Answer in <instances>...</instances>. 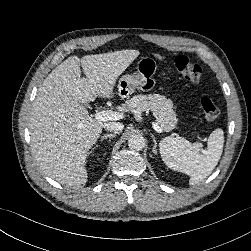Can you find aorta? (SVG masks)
<instances>
[{
  "label": "aorta",
  "instance_id": "1",
  "mask_svg": "<svg viewBox=\"0 0 251 251\" xmlns=\"http://www.w3.org/2000/svg\"><path fill=\"white\" fill-rule=\"evenodd\" d=\"M128 146L132 150L140 151L145 146V139L140 134H132L128 139Z\"/></svg>",
  "mask_w": 251,
  "mask_h": 251
}]
</instances>
